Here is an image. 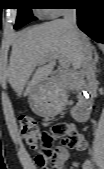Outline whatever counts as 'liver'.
Here are the masks:
<instances>
[{
  "mask_svg": "<svg viewBox=\"0 0 104 169\" xmlns=\"http://www.w3.org/2000/svg\"><path fill=\"white\" fill-rule=\"evenodd\" d=\"M74 37L63 19H56L20 33L13 45L7 70L8 81L18 97L30 95L53 73L55 55L65 57L75 69L82 66L81 33ZM25 89V90H24Z\"/></svg>",
  "mask_w": 104,
  "mask_h": 169,
  "instance_id": "liver-1",
  "label": "liver"
}]
</instances>
